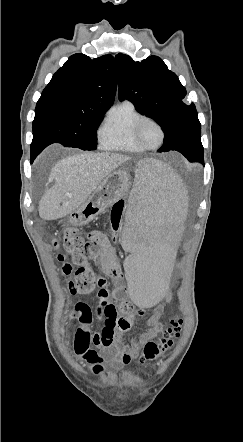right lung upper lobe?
<instances>
[{
    "mask_svg": "<svg viewBox=\"0 0 243 442\" xmlns=\"http://www.w3.org/2000/svg\"><path fill=\"white\" fill-rule=\"evenodd\" d=\"M117 69L111 55L90 59L74 54L53 75L39 100H57L73 109L107 111L113 104Z\"/></svg>",
    "mask_w": 243,
    "mask_h": 442,
    "instance_id": "1",
    "label": "right lung upper lobe"
}]
</instances>
